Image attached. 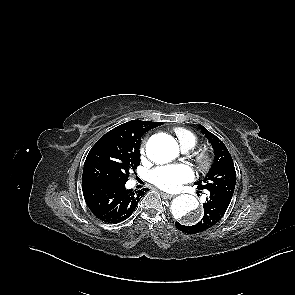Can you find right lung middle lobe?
Wrapping results in <instances>:
<instances>
[{
	"instance_id": "dd1d6c3e",
	"label": "right lung middle lobe",
	"mask_w": 295,
	"mask_h": 295,
	"mask_svg": "<svg viewBox=\"0 0 295 295\" xmlns=\"http://www.w3.org/2000/svg\"><path fill=\"white\" fill-rule=\"evenodd\" d=\"M141 127L126 133H106L91 148L85 160L82 184H125L131 169L140 164Z\"/></svg>"
}]
</instances>
